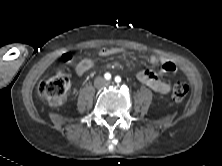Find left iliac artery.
<instances>
[{"instance_id":"44dca946","label":"left iliac artery","mask_w":222,"mask_h":166,"mask_svg":"<svg viewBox=\"0 0 222 166\" xmlns=\"http://www.w3.org/2000/svg\"><path fill=\"white\" fill-rule=\"evenodd\" d=\"M115 82H116V83L121 82V77H120V76H116V77H115Z\"/></svg>"}]
</instances>
